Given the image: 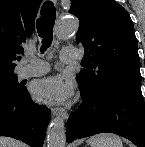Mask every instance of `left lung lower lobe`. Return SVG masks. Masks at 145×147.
<instances>
[{"label":"left lung lower lobe","instance_id":"left-lung-lower-lobe-1","mask_svg":"<svg viewBox=\"0 0 145 147\" xmlns=\"http://www.w3.org/2000/svg\"><path fill=\"white\" fill-rule=\"evenodd\" d=\"M82 104L67 122L66 141L111 132L145 147V105L141 82L114 85L99 96L80 87Z\"/></svg>","mask_w":145,"mask_h":147}]
</instances>
